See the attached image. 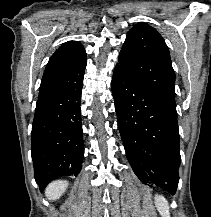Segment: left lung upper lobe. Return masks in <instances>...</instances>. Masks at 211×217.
Instances as JSON below:
<instances>
[{"instance_id": "5c2ea615", "label": "left lung upper lobe", "mask_w": 211, "mask_h": 217, "mask_svg": "<svg viewBox=\"0 0 211 217\" xmlns=\"http://www.w3.org/2000/svg\"><path fill=\"white\" fill-rule=\"evenodd\" d=\"M118 66L141 81L158 98L176 108L175 73L168 47L159 32L146 23L128 32L118 57Z\"/></svg>"}]
</instances>
